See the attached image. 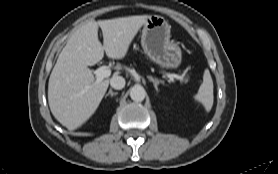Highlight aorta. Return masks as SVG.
Returning a JSON list of instances; mask_svg holds the SVG:
<instances>
[{
  "label": "aorta",
  "mask_w": 278,
  "mask_h": 174,
  "mask_svg": "<svg viewBox=\"0 0 278 174\" xmlns=\"http://www.w3.org/2000/svg\"><path fill=\"white\" fill-rule=\"evenodd\" d=\"M146 96L145 89L140 85H135L130 89V97L133 101L141 102Z\"/></svg>",
  "instance_id": "aorta-1"
}]
</instances>
